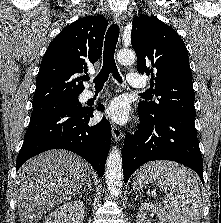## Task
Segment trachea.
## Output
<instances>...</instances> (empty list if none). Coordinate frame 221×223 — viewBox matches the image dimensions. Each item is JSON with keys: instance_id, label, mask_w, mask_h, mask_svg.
<instances>
[{"instance_id": "3493384b", "label": "trachea", "mask_w": 221, "mask_h": 223, "mask_svg": "<svg viewBox=\"0 0 221 223\" xmlns=\"http://www.w3.org/2000/svg\"><path fill=\"white\" fill-rule=\"evenodd\" d=\"M119 37V26L117 24H112L105 37L104 42V52H103V66L99 74L95 77L94 83L96 88H102L104 83L107 81L110 73L113 74L114 78L122 83V77L120 76L115 60L114 53L116 49V44ZM89 77H86V80H89ZM147 95V93H143Z\"/></svg>"}]
</instances>
